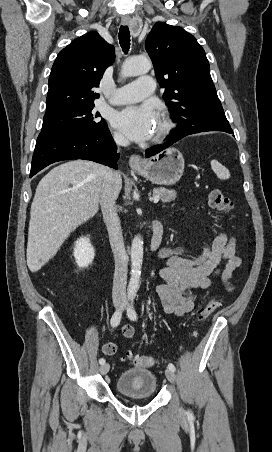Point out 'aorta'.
I'll list each match as a JSON object with an SVG mask.
<instances>
[{"instance_id": "1", "label": "aorta", "mask_w": 272, "mask_h": 452, "mask_svg": "<svg viewBox=\"0 0 272 452\" xmlns=\"http://www.w3.org/2000/svg\"><path fill=\"white\" fill-rule=\"evenodd\" d=\"M152 63L145 57H135L128 59L122 69L123 76H136L150 71ZM131 277L128 285V293L136 294L141 276V267L143 261V239L136 235L131 245Z\"/></svg>"}]
</instances>
